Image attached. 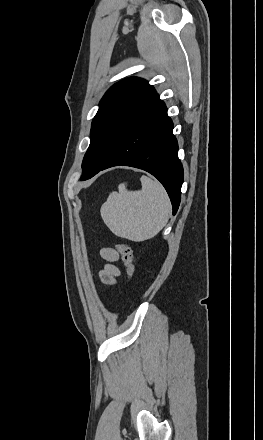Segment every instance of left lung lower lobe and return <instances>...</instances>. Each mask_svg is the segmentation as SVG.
Listing matches in <instances>:
<instances>
[{"label": "left lung lower lobe", "instance_id": "obj_1", "mask_svg": "<svg viewBox=\"0 0 263 440\" xmlns=\"http://www.w3.org/2000/svg\"><path fill=\"white\" fill-rule=\"evenodd\" d=\"M118 165L143 169L155 176L169 194L175 215L180 204L184 172L178 159L173 123L157 93L135 115L107 163L82 180Z\"/></svg>", "mask_w": 263, "mask_h": 440}]
</instances>
